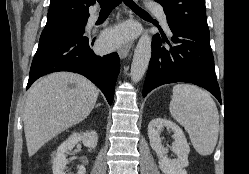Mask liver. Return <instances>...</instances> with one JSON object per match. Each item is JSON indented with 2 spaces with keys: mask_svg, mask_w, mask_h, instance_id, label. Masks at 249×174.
Here are the masks:
<instances>
[{
  "mask_svg": "<svg viewBox=\"0 0 249 174\" xmlns=\"http://www.w3.org/2000/svg\"><path fill=\"white\" fill-rule=\"evenodd\" d=\"M98 93L92 82L76 73L57 72L40 79L29 90L23 112L29 157L83 121L94 108Z\"/></svg>",
  "mask_w": 249,
  "mask_h": 174,
  "instance_id": "obj_1",
  "label": "liver"
}]
</instances>
